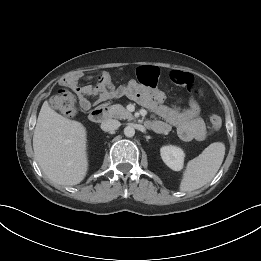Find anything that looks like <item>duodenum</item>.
Returning a JSON list of instances; mask_svg holds the SVG:
<instances>
[{
	"mask_svg": "<svg viewBox=\"0 0 261 261\" xmlns=\"http://www.w3.org/2000/svg\"><path fill=\"white\" fill-rule=\"evenodd\" d=\"M108 110L106 107L99 106L93 109L89 115L91 121L100 123L107 118Z\"/></svg>",
	"mask_w": 261,
	"mask_h": 261,
	"instance_id": "1",
	"label": "duodenum"
}]
</instances>
